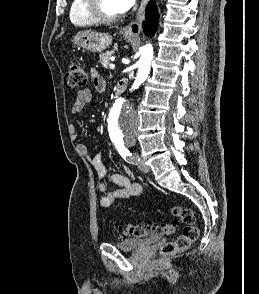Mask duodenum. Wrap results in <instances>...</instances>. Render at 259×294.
Masks as SVG:
<instances>
[{"mask_svg":"<svg viewBox=\"0 0 259 294\" xmlns=\"http://www.w3.org/2000/svg\"><path fill=\"white\" fill-rule=\"evenodd\" d=\"M127 88V81L122 79L117 82L114 88V94L116 98H119Z\"/></svg>","mask_w":259,"mask_h":294,"instance_id":"1","label":"duodenum"}]
</instances>
